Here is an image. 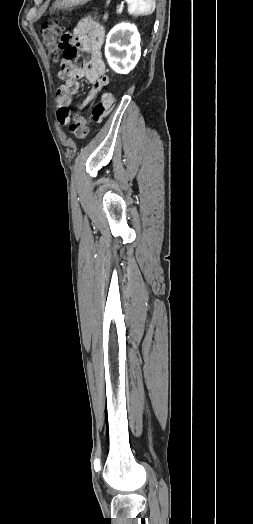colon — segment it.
Wrapping results in <instances>:
<instances>
[{
	"label": "colon",
	"instance_id": "obj_1",
	"mask_svg": "<svg viewBox=\"0 0 253 524\" xmlns=\"http://www.w3.org/2000/svg\"><path fill=\"white\" fill-rule=\"evenodd\" d=\"M63 30V27L55 20L46 21L40 28L41 41L53 60L60 59L61 52L58 51L57 46L60 44L58 37ZM58 119L62 124L70 122V130L77 139H84L87 136V119L78 111H73L69 107H62L58 112Z\"/></svg>",
	"mask_w": 253,
	"mask_h": 524
}]
</instances>
